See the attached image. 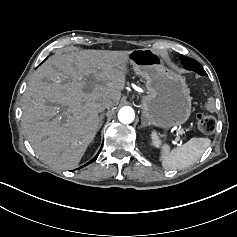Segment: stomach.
Returning <instances> with one entry per match:
<instances>
[{"instance_id":"1","label":"stomach","mask_w":237,"mask_h":237,"mask_svg":"<svg viewBox=\"0 0 237 237\" xmlns=\"http://www.w3.org/2000/svg\"><path fill=\"white\" fill-rule=\"evenodd\" d=\"M164 56L152 49L130 53L136 74L146 79L148 93L140 100L143 118L155 127L170 129L185 124L192 114V97L185 79L163 65Z\"/></svg>"}]
</instances>
